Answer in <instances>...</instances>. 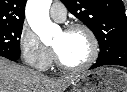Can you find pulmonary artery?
I'll list each match as a JSON object with an SVG mask.
<instances>
[{"label": "pulmonary artery", "instance_id": "1", "mask_svg": "<svg viewBox=\"0 0 127 92\" xmlns=\"http://www.w3.org/2000/svg\"><path fill=\"white\" fill-rule=\"evenodd\" d=\"M52 19L62 22L66 19V8L61 2H54L49 10Z\"/></svg>", "mask_w": 127, "mask_h": 92}]
</instances>
